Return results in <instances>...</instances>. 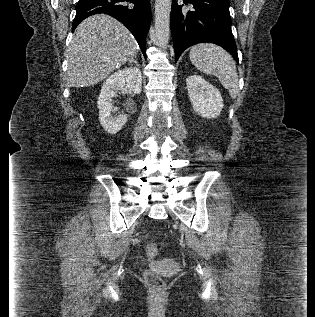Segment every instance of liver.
Wrapping results in <instances>:
<instances>
[{
	"label": "liver",
	"mask_w": 315,
	"mask_h": 317,
	"mask_svg": "<svg viewBox=\"0 0 315 317\" xmlns=\"http://www.w3.org/2000/svg\"><path fill=\"white\" fill-rule=\"evenodd\" d=\"M137 51L135 38L119 21L108 15H93L79 24L67 49L68 84L95 85Z\"/></svg>",
	"instance_id": "6515ba94"
}]
</instances>
